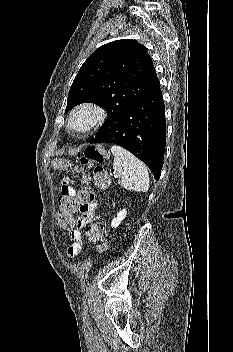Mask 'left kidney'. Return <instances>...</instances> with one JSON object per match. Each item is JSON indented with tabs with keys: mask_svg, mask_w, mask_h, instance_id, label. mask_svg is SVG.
<instances>
[{
	"mask_svg": "<svg viewBox=\"0 0 233 352\" xmlns=\"http://www.w3.org/2000/svg\"><path fill=\"white\" fill-rule=\"evenodd\" d=\"M127 211L126 209H123L117 213V217L114 218L111 222L112 227H118L121 223V221L126 217Z\"/></svg>",
	"mask_w": 233,
	"mask_h": 352,
	"instance_id": "left-kidney-1",
	"label": "left kidney"
}]
</instances>
